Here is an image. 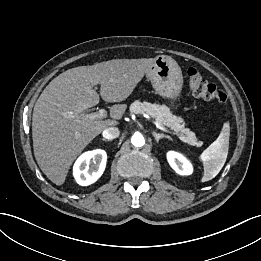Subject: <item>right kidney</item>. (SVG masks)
<instances>
[{
  "label": "right kidney",
  "instance_id": "ca27d5eb",
  "mask_svg": "<svg viewBox=\"0 0 261 261\" xmlns=\"http://www.w3.org/2000/svg\"><path fill=\"white\" fill-rule=\"evenodd\" d=\"M107 161L104 150L97 149L83 153L73 166V176L81 186H88L103 174Z\"/></svg>",
  "mask_w": 261,
  "mask_h": 261
}]
</instances>
